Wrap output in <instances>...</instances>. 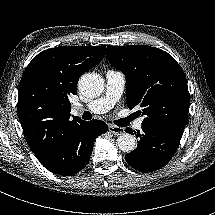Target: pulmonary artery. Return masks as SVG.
Masks as SVG:
<instances>
[{
	"instance_id": "1",
	"label": "pulmonary artery",
	"mask_w": 215,
	"mask_h": 215,
	"mask_svg": "<svg viewBox=\"0 0 215 215\" xmlns=\"http://www.w3.org/2000/svg\"><path fill=\"white\" fill-rule=\"evenodd\" d=\"M125 88V75L116 70L106 71V89L105 94L87 105H77L74 111L80 112L87 110L94 114H103L110 110L116 102L121 98ZM144 117L135 123V128L141 129Z\"/></svg>"
}]
</instances>
